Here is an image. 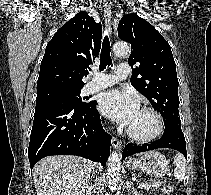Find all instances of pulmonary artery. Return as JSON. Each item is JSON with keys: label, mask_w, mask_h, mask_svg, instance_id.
Listing matches in <instances>:
<instances>
[{"label": "pulmonary artery", "mask_w": 211, "mask_h": 195, "mask_svg": "<svg viewBox=\"0 0 211 195\" xmlns=\"http://www.w3.org/2000/svg\"><path fill=\"white\" fill-rule=\"evenodd\" d=\"M130 73L128 64L121 63L118 66L116 74H100L96 73L95 76L87 83L85 89L87 93H94L98 90L108 88L120 80L126 79Z\"/></svg>", "instance_id": "pulmonary-artery-1"}]
</instances>
